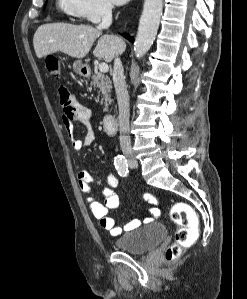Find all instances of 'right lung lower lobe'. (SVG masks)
I'll list each match as a JSON object with an SVG mask.
<instances>
[{"mask_svg": "<svg viewBox=\"0 0 247 299\" xmlns=\"http://www.w3.org/2000/svg\"><path fill=\"white\" fill-rule=\"evenodd\" d=\"M123 37H125L126 39H128L129 41L133 42L134 41V38L133 37H130L129 34H122Z\"/></svg>", "mask_w": 247, "mask_h": 299, "instance_id": "right-lung-lower-lobe-1", "label": "right lung lower lobe"}]
</instances>
